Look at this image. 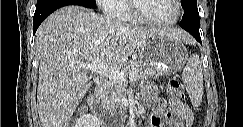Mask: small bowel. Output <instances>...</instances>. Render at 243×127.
I'll return each mask as SVG.
<instances>
[{
  "label": "small bowel",
  "mask_w": 243,
  "mask_h": 127,
  "mask_svg": "<svg viewBox=\"0 0 243 127\" xmlns=\"http://www.w3.org/2000/svg\"><path fill=\"white\" fill-rule=\"evenodd\" d=\"M147 104L154 110L148 127H191L194 116L191 108L178 98L168 101L156 97L149 89L145 92Z\"/></svg>",
  "instance_id": "small-bowel-1"
}]
</instances>
